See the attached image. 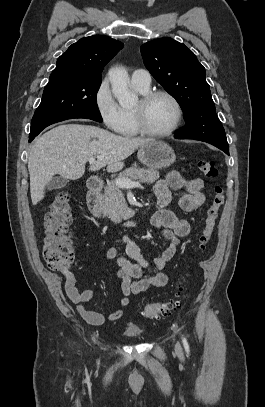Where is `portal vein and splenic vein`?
Listing matches in <instances>:
<instances>
[{"mask_svg":"<svg viewBox=\"0 0 265 407\" xmlns=\"http://www.w3.org/2000/svg\"><path fill=\"white\" fill-rule=\"evenodd\" d=\"M96 162L95 157H91L89 159L90 164H94ZM116 185L120 188H133V187H141L140 182L131 181L129 179H119L116 181Z\"/></svg>","mask_w":265,"mask_h":407,"instance_id":"obj_1","label":"portal vein and splenic vein"}]
</instances>
